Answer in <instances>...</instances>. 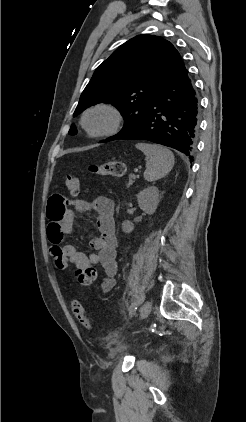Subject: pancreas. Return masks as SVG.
<instances>
[{
  "mask_svg": "<svg viewBox=\"0 0 246 422\" xmlns=\"http://www.w3.org/2000/svg\"><path fill=\"white\" fill-rule=\"evenodd\" d=\"M133 176H134V175H130V176H129V183H128V185H127V186H130V185H132V184L134 183V180H135L136 178L134 179V178H133Z\"/></svg>",
  "mask_w": 246,
  "mask_h": 422,
  "instance_id": "1",
  "label": "pancreas"
}]
</instances>
